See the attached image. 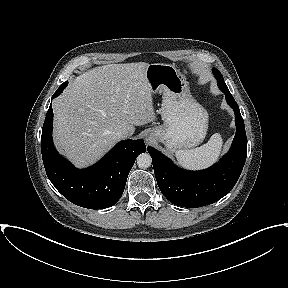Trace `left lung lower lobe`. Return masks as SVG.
<instances>
[{
    "mask_svg": "<svg viewBox=\"0 0 288 288\" xmlns=\"http://www.w3.org/2000/svg\"><path fill=\"white\" fill-rule=\"evenodd\" d=\"M235 112L236 134L228 154L212 167L188 171L176 167L170 159L152 147L155 177L162 194L173 204L197 208L212 204L227 195L236 184L247 156V138L239 106L230 92H224Z\"/></svg>",
    "mask_w": 288,
    "mask_h": 288,
    "instance_id": "0a47b994",
    "label": "left lung lower lobe"
}]
</instances>
